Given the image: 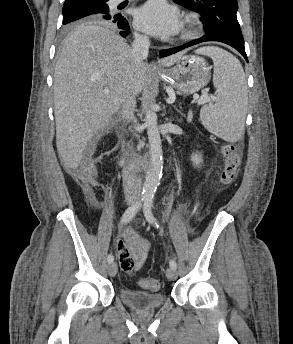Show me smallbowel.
I'll return each instance as SVG.
<instances>
[{
	"label": "small bowel",
	"mask_w": 293,
	"mask_h": 344,
	"mask_svg": "<svg viewBox=\"0 0 293 344\" xmlns=\"http://www.w3.org/2000/svg\"><path fill=\"white\" fill-rule=\"evenodd\" d=\"M115 247L122 271L131 273L142 267L151 249V243L133 229L124 228L121 237L115 240Z\"/></svg>",
	"instance_id": "obj_1"
}]
</instances>
